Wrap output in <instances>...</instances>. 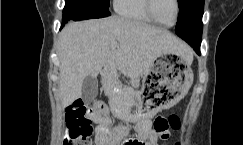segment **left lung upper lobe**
Instances as JSON below:
<instances>
[{"label": "left lung upper lobe", "mask_w": 243, "mask_h": 145, "mask_svg": "<svg viewBox=\"0 0 243 145\" xmlns=\"http://www.w3.org/2000/svg\"><path fill=\"white\" fill-rule=\"evenodd\" d=\"M180 15H185L189 22L197 24L201 29L204 0H178Z\"/></svg>", "instance_id": "5c2ea615"}]
</instances>
